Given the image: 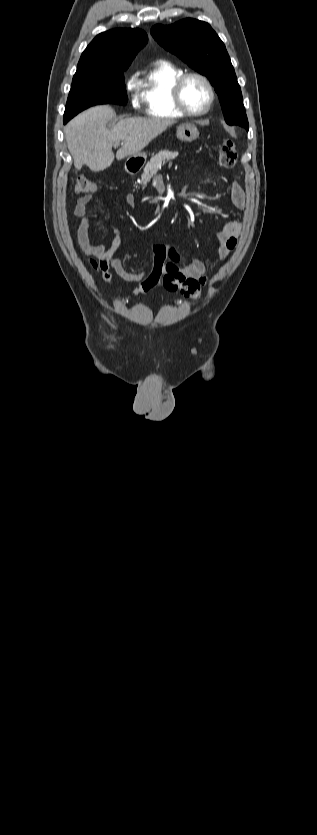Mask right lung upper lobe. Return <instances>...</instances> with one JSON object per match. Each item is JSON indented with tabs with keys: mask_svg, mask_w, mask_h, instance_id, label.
<instances>
[{
	"mask_svg": "<svg viewBox=\"0 0 317 835\" xmlns=\"http://www.w3.org/2000/svg\"><path fill=\"white\" fill-rule=\"evenodd\" d=\"M147 43L140 29H114L97 35L82 53L77 71L126 70Z\"/></svg>",
	"mask_w": 317,
	"mask_h": 835,
	"instance_id": "obj_1",
	"label": "right lung upper lobe"
}]
</instances>
